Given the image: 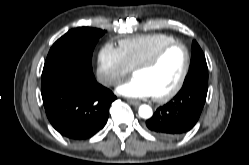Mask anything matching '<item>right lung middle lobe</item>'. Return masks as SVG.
<instances>
[{
  "instance_id": "right-lung-middle-lobe-1",
  "label": "right lung middle lobe",
  "mask_w": 249,
  "mask_h": 165,
  "mask_svg": "<svg viewBox=\"0 0 249 165\" xmlns=\"http://www.w3.org/2000/svg\"><path fill=\"white\" fill-rule=\"evenodd\" d=\"M104 33V30L90 27H79L68 31L52 45L45 64H66L94 76L92 53Z\"/></svg>"
}]
</instances>
